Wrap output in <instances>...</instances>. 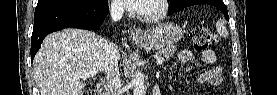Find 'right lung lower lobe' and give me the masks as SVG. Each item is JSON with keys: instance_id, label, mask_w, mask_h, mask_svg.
<instances>
[{"instance_id": "obj_1", "label": "right lung lower lobe", "mask_w": 277, "mask_h": 95, "mask_svg": "<svg viewBox=\"0 0 277 95\" xmlns=\"http://www.w3.org/2000/svg\"><path fill=\"white\" fill-rule=\"evenodd\" d=\"M108 11V0L36 7L31 37L32 62L46 35L67 27L96 30L102 25Z\"/></svg>"}]
</instances>
